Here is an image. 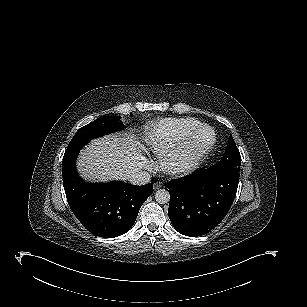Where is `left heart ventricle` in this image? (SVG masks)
<instances>
[{
    "instance_id": "b2bd125f",
    "label": "left heart ventricle",
    "mask_w": 307,
    "mask_h": 307,
    "mask_svg": "<svg viewBox=\"0 0 307 307\" xmlns=\"http://www.w3.org/2000/svg\"><path fill=\"white\" fill-rule=\"evenodd\" d=\"M210 137H211V133L209 130L202 131V133L200 134V138L198 139L195 145H199V144H202V142L209 141ZM194 149H195V146H189V147L183 148L177 155L175 162L178 163L183 160H190L193 156Z\"/></svg>"
}]
</instances>
